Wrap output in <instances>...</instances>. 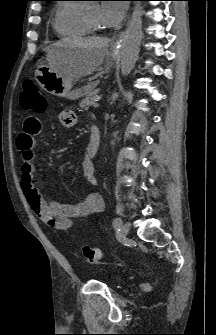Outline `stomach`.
I'll use <instances>...</instances> for the list:
<instances>
[{
    "label": "stomach",
    "instance_id": "0dacf381",
    "mask_svg": "<svg viewBox=\"0 0 216 335\" xmlns=\"http://www.w3.org/2000/svg\"><path fill=\"white\" fill-rule=\"evenodd\" d=\"M47 52L48 65L40 67L35 72V79L38 84L48 93L65 97L70 100L78 99L83 95L82 89H72L73 81L69 75L62 72V69L70 61L78 49L71 46L53 45L45 49ZM117 50L110 53L111 59H116Z\"/></svg>",
    "mask_w": 216,
    "mask_h": 335
}]
</instances>
